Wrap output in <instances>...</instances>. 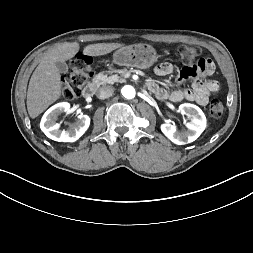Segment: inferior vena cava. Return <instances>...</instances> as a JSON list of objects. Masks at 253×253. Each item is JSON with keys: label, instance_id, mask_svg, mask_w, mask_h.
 <instances>
[{"label": "inferior vena cava", "instance_id": "inferior-vena-cava-1", "mask_svg": "<svg viewBox=\"0 0 253 253\" xmlns=\"http://www.w3.org/2000/svg\"><path fill=\"white\" fill-rule=\"evenodd\" d=\"M113 92H114V88L112 86L105 85V86L100 87L98 97L100 99H105L112 96Z\"/></svg>", "mask_w": 253, "mask_h": 253}]
</instances>
